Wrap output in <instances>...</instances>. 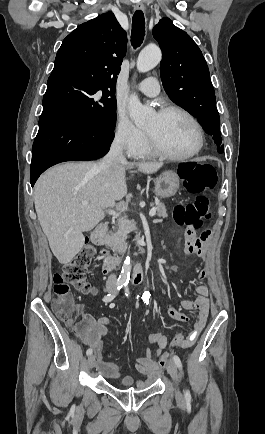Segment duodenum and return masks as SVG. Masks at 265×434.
Masks as SVG:
<instances>
[{"instance_id": "410a0bca", "label": "duodenum", "mask_w": 265, "mask_h": 434, "mask_svg": "<svg viewBox=\"0 0 265 434\" xmlns=\"http://www.w3.org/2000/svg\"><path fill=\"white\" fill-rule=\"evenodd\" d=\"M109 231L110 228L107 225L101 224L97 226L91 232V242L97 245H104L105 236L109 234ZM121 266H123V261L116 259L106 252H103V258L101 259V269L103 273L107 275L113 274L118 271ZM133 271L132 282L134 284L142 283L148 277L147 268L144 263L135 264L133 266Z\"/></svg>"}]
</instances>
